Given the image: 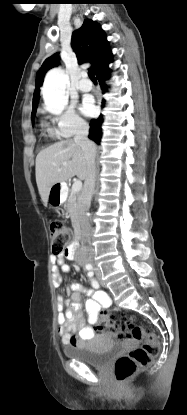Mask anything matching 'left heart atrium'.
Returning <instances> with one entry per match:
<instances>
[{
    "label": "left heart atrium",
    "instance_id": "39dd6f15",
    "mask_svg": "<svg viewBox=\"0 0 187 415\" xmlns=\"http://www.w3.org/2000/svg\"><path fill=\"white\" fill-rule=\"evenodd\" d=\"M81 111L87 116H91L94 114L95 106L93 100L90 97H86L83 100Z\"/></svg>",
    "mask_w": 187,
    "mask_h": 415
}]
</instances>
